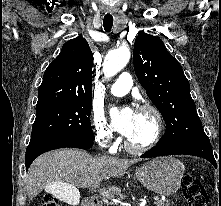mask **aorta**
<instances>
[{
	"label": "aorta",
	"instance_id": "1",
	"mask_svg": "<svg viewBox=\"0 0 221 206\" xmlns=\"http://www.w3.org/2000/svg\"><path fill=\"white\" fill-rule=\"evenodd\" d=\"M130 50L126 46L110 51L104 60L103 72L107 78L114 76L128 63Z\"/></svg>",
	"mask_w": 221,
	"mask_h": 206
}]
</instances>
